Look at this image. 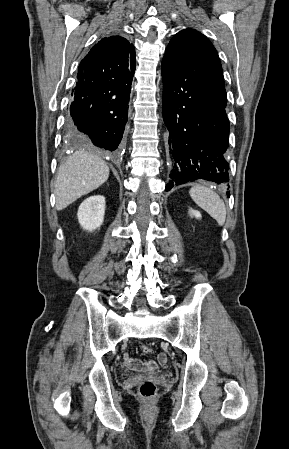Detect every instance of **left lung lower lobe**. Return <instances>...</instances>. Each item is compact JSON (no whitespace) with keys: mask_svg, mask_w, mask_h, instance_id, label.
I'll list each match as a JSON object with an SVG mask.
<instances>
[{"mask_svg":"<svg viewBox=\"0 0 289 449\" xmlns=\"http://www.w3.org/2000/svg\"><path fill=\"white\" fill-rule=\"evenodd\" d=\"M162 75L163 119L171 160L165 190L197 179L227 184L229 120L224 84L202 65L167 53Z\"/></svg>","mask_w":289,"mask_h":449,"instance_id":"left-lung-lower-lobe-1","label":"left lung lower lobe"}]
</instances>
